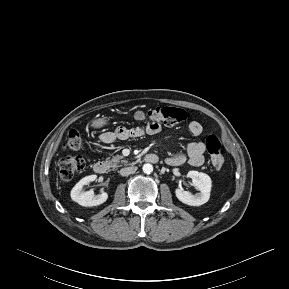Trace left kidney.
I'll return each instance as SVG.
<instances>
[{"label": "left kidney", "instance_id": "left-kidney-1", "mask_svg": "<svg viewBox=\"0 0 289 289\" xmlns=\"http://www.w3.org/2000/svg\"><path fill=\"white\" fill-rule=\"evenodd\" d=\"M187 177L192 179L194 186L200 191L192 194L189 191H184L181 188L175 189L176 197L184 204L190 206H200L206 203L210 198L211 178L202 172L189 171Z\"/></svg>", "mask_w": 289, "mask_h": 289}]
</instances>
